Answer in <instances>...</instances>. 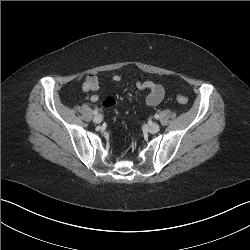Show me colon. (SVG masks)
<instances>
[{
    "mask_svg": "<svg viewBox=\"0 0 250 250\" xmlns=\"http://www.w3.org/2000/svg\"><path fill=\"white\" fill-rule=\"evenodd\" d=\"M177 100H178V102L184 104V103L188 102V97L186 95L179 94L177 96ZM103 105H104V107H111V106L115 105V101L113 99L109 98L103 102Z\"/></svg>",
    "mask_w": 250,
    "mask_h": 250,
    "instance_id": "5ec220e1",
    "label": "colon"
}]
</instances>
